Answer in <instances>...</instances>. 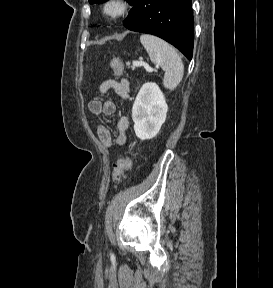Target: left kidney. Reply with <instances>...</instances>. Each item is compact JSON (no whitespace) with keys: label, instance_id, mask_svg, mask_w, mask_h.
<instances>
[{"label":"left kidney","instance_id":"1","mask_svg":"<svg viewBox=\"0 0 273 288\" xmlns=\"http://www.w3.org/2000/svg\"><path fill=\"white\" fill-rule=\"evenodd\" d=\"M168 106L156 83L147 82L139 90L132 107L136 136L144 141L154 138L165 122Z\"/></svg>","mask_w":273,"mask_h":288}]
</instances>
